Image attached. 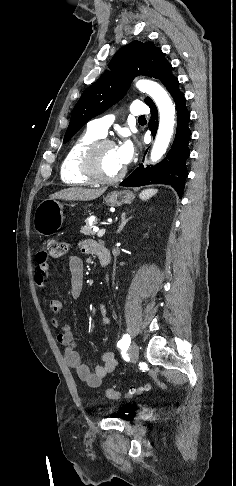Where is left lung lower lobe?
Here are the masks:
<instances>
[{"label": "left lung lower lobe", "mask_w": 236, "mask_h": 486, "mask_svg": "<svg viewBox=\"0 0 236 486\" xmlns=\"http://www.w3.org/2000/svg\"><path fill=\"white\" fill-rule=\"evenodd\" d=\"M174 99L177 110V130L173 145L166 158L155 166L144 168L141 164L127 179L120 183L121 186L138 187L149 184H167L172 186L182 197L185 178L188 175L186 160L189 157L188 142L191 132L188 128L190 113L185 106L184 94L179 90L178 79L173 77L164 85ZM151 119L149 129L155 136L158 127V112L155 104L150 102Z\"/></svg>", "instance_id": "1"}]
</instances>
